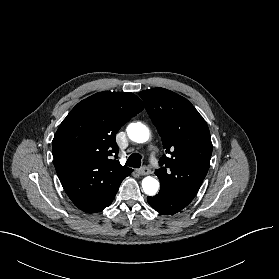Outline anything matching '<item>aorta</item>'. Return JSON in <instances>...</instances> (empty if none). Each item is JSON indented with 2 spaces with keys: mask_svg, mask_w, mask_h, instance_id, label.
Returning <instances> with one entry per match:
<instances>
[{
  "mask_svg": "<svg viewBox=\"0 0 279 279\" xmlns=\"http://www.w3.org/2000/svg\"><path fill=\"white\" fill-rule=\"evenodd\" d=\"M126 131L128 137L136 143H145L149 140V130L140 122L129 124ZM142 188L145 194L153 196L159 189V182L154 177L147 176L142 180Z\"/></svg>",
  "mask_w": 279,
  "mask_h": 279,
  "instance_id": "1",
  "label": "aorta"
}]
</instances>
